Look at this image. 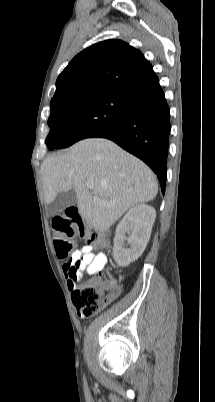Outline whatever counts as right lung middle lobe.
<instances>
[{
	"label": "right lung middle lobe",
	"mask_w": 215,
	"mask_h": 402,
	"mask_svg": "<svg viewBox=\"0 0 215 402\" xmlns=\"http://www.w3.org/2000/svg\"><path fill=\"white\" fill-rule=\"evenodd\" d=\"M135 102L113 94L62 97L50 103V127L46 144L50 150L66 148L73 143L107 131L120 123Z\"/></svg>",
	"instance_id": "right-lung-middle-lobe-1"
}]
</instances>
